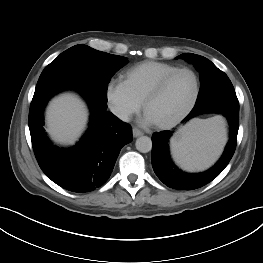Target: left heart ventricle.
I'll use <instances>...</instances> for the list:
<instances>
[{"label": "left heart ventricle", "instance_id": "b2bd125f", "mask_svg": "<svg viewBox=\"0 0 263 263\" xmlns=\"http://www.w3.org/2000/svg\"><path fill=\"white\" fill-rule=\"evenodd\" d=\"M194 91L193 75L189 72H182L172 78L163 92L149 104L146 114L153 123L169 121L186 108Z\"/></svg>", "mask_w": 263, "mask_h": 263}]
</instances>
